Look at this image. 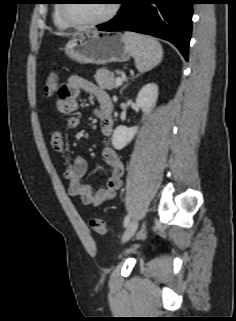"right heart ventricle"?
<instances>
[{"instance_id": "e07e8e85", "label": "right heart ventricle", "mask_w": 236, "mask_h": 321, "mask_svg": "<svg viewBox=\"0 0 236 321\" xmlns=\"http://www.w3.org/2000/svg\"><path fill=\"white\" fill-rule=\"evenodd\" d=\"M53 21L56 27L61 29L69 28L70 25L64 21L60 14V5H56L54 12H53Z\"/></svg>"}]
</instances>
